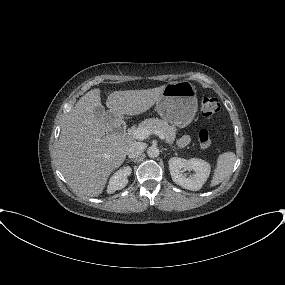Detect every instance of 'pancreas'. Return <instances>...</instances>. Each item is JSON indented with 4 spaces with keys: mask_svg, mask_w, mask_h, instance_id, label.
<instances>
[{
    "mask_svg": "<svg viewBox=\"0 0 285 285\" xmlns=\"http://www.w3.org/2000/svg\"><path fill=\"white\" fill-rule=\"evenodd\" d=\"M138 128H146L151 132L156 130L162 132L165 136L166 143L170 146H172L176 137V128L174 126H170L166 121L158 118L146 119L139 124Z\"/></svg>",
    "mask_w": 285,
    "mask_h": 285,
    "instance_id": "cf45deb5",
    "label": "pancreas"
}]
</instances>
